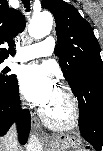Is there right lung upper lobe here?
<instances>
[{
  "instance_id": "obj_1",
  "label": "right lung upper lobe",
  "mask_w": 103,
  "mask_h": 151,
  "mask_svg": "<svg viewBox=\"0 0 103 151\" xmlns=\"http://www.w3.org/2000/svg\"><path fill=\"white\" fill-rule=\"evenodd\" d=\"M25 27L24 18L21 13L13 8H8L6 0H0V45L8 44L6 48H0V61H3L9 54L14 55L13 38Z\"/></svg>"
}]
</instances>
